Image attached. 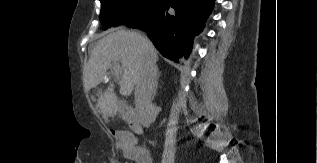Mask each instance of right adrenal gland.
I'll use <instances>...</instances> for the list:
<instances>
[{
	"mask_svg": "<svg viewBox=\"0 0 317 163\" xmlns=\"http://www.w3.org/2000/svg\"><path fill=\"white\" fill-rule=\"evenodd\" d=\"M160 75H161V72L158 71L157 76H156V79H155V93H156V89H157V87H158V80H159Z\"/></svg>",
	"mask_w": 317,
	"mask_h": 163,
	"instance_id": "2a0ac1e0",
	"label": "right adrenal gland"
}]
</instances>
